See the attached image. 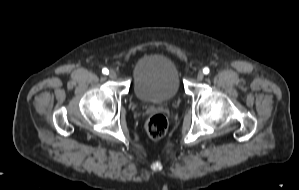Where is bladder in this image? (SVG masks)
<instances>
[{
    "instance_id": "31cf9c89",
    "label": "bladder",
    "mask_w": 299,
    "mask_h": 190,
    "mask_svg": "<svg viewBox=\"0 0 299 190\" xmlns=\"http://www.w3.org/2000/svg\"><path fill=\"white\" fill-rule=\"evenodd\" d=\"M180 69L168 54L151 52L138 64L132 90L141 101L163 103L174 99L180 92Z\"/></svg>"
}]
</instances>
